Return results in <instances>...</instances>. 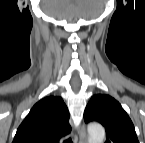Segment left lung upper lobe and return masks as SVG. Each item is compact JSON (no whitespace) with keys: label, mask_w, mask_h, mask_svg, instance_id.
I'll return each instance as SVG.
<instances>
[{"label":"left lung upper lobe","mask_w":145,"mask_h":143,"mask_svg":"<svg viewBox=\"0 0 145 143\" xmlns=\"http://www.w3.org/2000/svg\"><path fill=\"white\" fill-rule=\"evenodd\" d=\"M84 120L97 121L106 128V143H139L131 119L109 95H94L85 109Z\"/></svg>","instance_id":"1"}]
</instances>
